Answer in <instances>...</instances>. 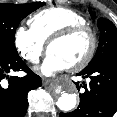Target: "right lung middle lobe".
<instances>
[{
	"mask_svg": "<svg viewBox=\"0 0 117 117\" xmlns=\"http://www.w3.org/2000/svg\"><path fill=\"white\" fill-rule=\"evenodd\" d=\"M43 5H45L44 2L0 3V58L18 56L14 44L16 28L23 18Z\"/></svg>",
	"mask_w": 117,
	"mask_h": 117,
	"instance_id": "1",
	"label": "right lung middle lobe"
}]
</instances>
